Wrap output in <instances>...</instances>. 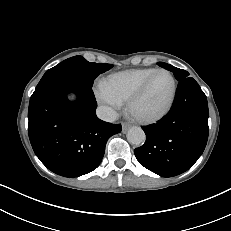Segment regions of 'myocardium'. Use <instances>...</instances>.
Listing matches in <instances>:
<instances>
[{
    "label": "myocardium",
    "mask_w": 231,
    "mask_h": 231,
    "mask_svg": "<svg viewBox=\"0 0 231 231\" xmlns=\"http://www.w3.org/2000/svg\"><path fill=\"white\" fill-rule=\"evenodd\" d=\"M158 74H166L171 79L172 88H171V93H170L168 101L159 111L153 114L142 115V114L137 113L135 110L137 103L147 93L152 81ZM176 94H177V82H176L174 75L167 70L157 69L146 79V81L139 87V89L135 91L129 97V99L127 100V111L134 120L140 123H143V124L155 123L161 120L162 118H164L170 112L175 102Z\"/></svg>",
    "instance_id": "1"
}]
</instances>
